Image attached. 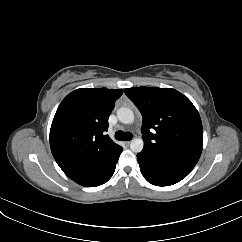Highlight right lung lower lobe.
Wrapping results in <instances>:
<instances>
[{
  "label": "right lung lower lobe",
  "instance_id": "right-lung-lower-lobe-1",
  "mask_svg": "<svg viewBox=\"0 0 242 242\" xmlns=\"http://www.w3.org/2000/svg\"><path fill=\"white\" fill-rule=\"evenodd\" d=\"M122 150L123 148L118 145L72 180L85 187H96L106 183L115 171Z\"/></svg>",
  "mask_w": 242,
  "mask_h": 242
}]
</instances>
